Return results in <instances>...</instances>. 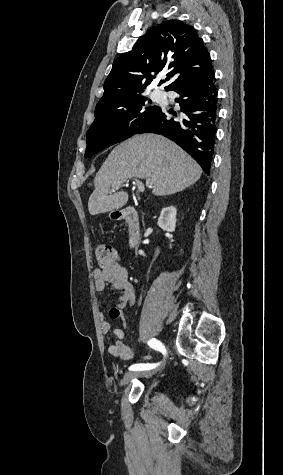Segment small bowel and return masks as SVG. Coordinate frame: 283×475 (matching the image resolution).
Returning a JSON list of instances; mask_svg holds the SVG:
<instances>
[{
    "mask_svg": "<svg viewBox=\"0 0 283 475\" xmlns=\"http://www.w3.org/2000/svg\"><path fill=\"white\" fill-rule=\"evenodd\" d=\"M92 276L97 291L101 292L110 288L118 293L116 306L110 311V322L106 318L103 305L100 306L99 321L102 333H111L115 338L114 343L107 348L108 353L116 359L129 360L133 357V352L125 343L123 330L112 327L122 326L124 324L122 309L135 304V293L129 281L128 273L124 267L117 263L102 268H94Z\"/></svg>",
    "mask_w": 283,
    "mask_h": 475,
    "instance_id": "1",
    "label": "small bowel"
}]
</instances>
